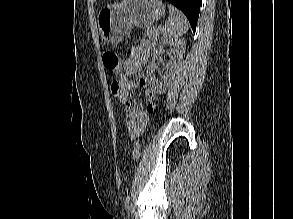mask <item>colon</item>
<instances>
[{
  "mask_svg": "<svg viewBox=\"0 0 293 219\" xmlns=\"http://www.w3.org/2000/svg\"><path fill=\"white\" fill-rule=\"evenodd\" d=\"M102 60H103V65L104 68L106 70V72L110 75H116L119 73L120 70V60L118 55L110 50V49H105L102 52ZM113 87L116 88L117 85L113 82ZM150 111L152 112L153 110L150 109ZM140 156V142L139 140H137L134 143L133 149H132V153H131V158L133 160H137Z\"/></svg>",
  "mask_w": 293,
  "mask_h": 219,
  "instance_id": "obj_1",
  "label": "colon"
}]
</instances>
